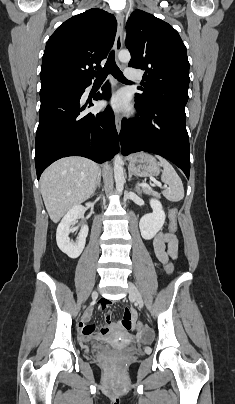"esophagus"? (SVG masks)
<instances>
[{"label":"esophagus","mask_w":235,"mask_h":404,"mask_svg":"<svg viewBox=\"0 0 235 404\" xmlns=\"http://www.w3.org/2000/svg\"><path fill=\"white\" fill-rule=\"evenodd\" d=\"M116 19H117V24H118V28H117V36H116V41H115V54H116V62L118 65H121L117 55L119 53V51L122 48V44H123V23H124V17L121 13H118L116 15ZM115 125H116V129L117 132L120 133L121 130V118L118 114L115 115Z\"/></svg>","instance_id":"1"}]
</instances>
